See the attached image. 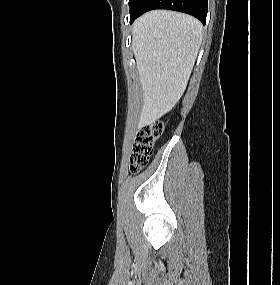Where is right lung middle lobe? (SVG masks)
<instances>
[{
  "label": "right lung middle lobe",
  "mask_w": 280,
  "mask_h": 285,
  "mask_svg": "<svg viewBox=\"0 0 280 285\" xmlns=\"http://www.w3.org/2000/svg\"><path fill=\"white\" fill-rule=\"evenodd\" d=\"M141 2V0H130L129 6H130V14H132L135 9L137 8L138 4Z\"/></svg>",
  "instance_id": "dd1d6c3e"
}]
</instances>
